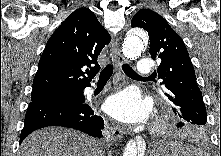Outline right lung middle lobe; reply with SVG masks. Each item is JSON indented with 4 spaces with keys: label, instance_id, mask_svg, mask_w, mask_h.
I'll use <instances>...</instances> for the list:
<instances>
[{
    "label": "right lung middle lobe",
    "instance_id": "dd1d6c3e",
    "mask_svg": "<svg viewBox=\"0 0 221 156\" xmlns=\"http://www.w3.org/2000/svg\"><path fill=\"white\" fill-rule=\"evenodd\" d=\"M37 101L81 103L85 101V97L83 95V90H81V91L54 95Z\"/></svg>",
    "mask_w": 221,
    "mask_h": 156
}]
</instances>
